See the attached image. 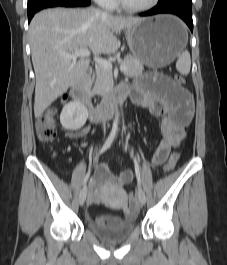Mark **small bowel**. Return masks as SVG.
Segmentation results:
<instances>
[{"label": "small bowel", "mask_w": 227, "mask_h": 265, "mask_svg": "<svg viewBox=\"0 0 227 265\" xmlns=\"http://www.w3.org/2000/svg\"><path fill=\"white\" fill-rule=\"evenodd\" d=\"M132 88L121 85V88L131 93L132 101L137 106L148 110L153 116L161 118L162 140L153 157L152 165L163 164L171 149L180 144L185 137V128L193 117V101L190 93L176 84L170 77L154 72H143ZM90 126L66 133L70 139L86 136ZM133 180V172L129 169L114 174L110 168L101 164L91 180L89 203L96 204L100 198L102 186L122 188ZM97 221L102 223L118 222L120 217L99 216Z\"/></svg>", "instance_id": "1"}]
</instances>
